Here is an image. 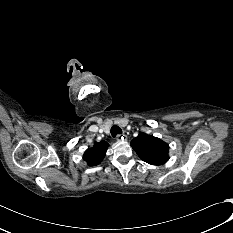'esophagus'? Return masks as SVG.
Masks as SVG:
<instances>
[{
  "instance_id": "34e87169",
  "label": "esophagus",
  "mask_w": 233,
  "mask_h": 233,
  "mask_svg": "<svg viewBox=\"0 0 233 233\" xmlns=\"http://www.w3.org/2000/svg\"><path fill=\"white\" fill-rule=\"evenodd\" d=\"M116 140L117 141H126L127 140V136L125 134H118L116 136Z\"/></svg>"
}]
</instances>
